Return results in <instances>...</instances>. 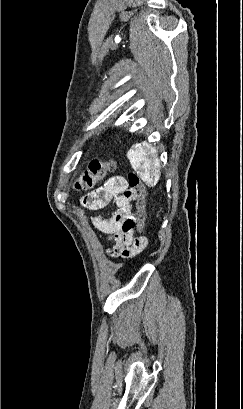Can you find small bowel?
Returning a JSON list of instances; mask_svg holds the SVG:
<instances>
[{"mask_svg":"<svg viewBox=\"0 0 243 409\" xmlns=\"http://www.w3.org/2000/svg\"><path fill=\"white\" fill-rule=\"evenodd\" d=\"M136 192L128 188L123 178L109 179L104 186L94 190L84 198V204L92 209L104 207L108 202L115 201L118 209L108 219L93 218L94 227L113 240L115 244L108 250L112 257L132 259L138 256L147 246L145 236H134L135 214L133 201Z\"/></svg>","mask_w":243,"mask_h":409,"instance_id":"small-bowel-1","label":"small bowel"}]
</instances>
